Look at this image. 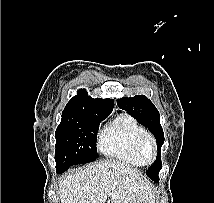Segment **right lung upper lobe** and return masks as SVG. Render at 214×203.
<instances>
[{
	"mask_svg": "<svg viewBox=\"0 0 214 203\" xmlns=\"http://www.w3.org/2000/svg\"><path fill=\"white\" fill-rule=\"evenodd\" d=\"M112 99L91 98L84 89H80L66 105L68 109H89L100 114L109 115L113 110Z\"/></svg>",
	"mask_w": 214,
	"mask_h": 203,
	"instance_id": "cb5924a9",
	"label": "right lung upper lobe"
}]
</instances>
